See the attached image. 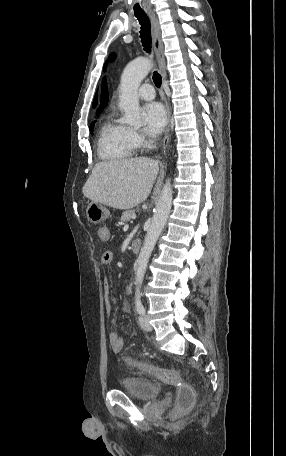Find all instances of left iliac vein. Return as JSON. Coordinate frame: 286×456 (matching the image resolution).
Wrapping results in <instances>:
<instances>
[{"label":"left iliac vein","instance_id":"obj_1","mask_svg":"<svg viewBox=\"0 0 286 456\" xmlns=\"http://www.w3.org/2000/svg\"><path fill=\"white\" fill-rule=\"evenodd\" d=\"M139 324L141 328L145 331L149 332L152 330V326L149 323L148 317L144 314L139 317Z\"/></svg>","mask_w":286,"mask_h":456}]
</instances>
